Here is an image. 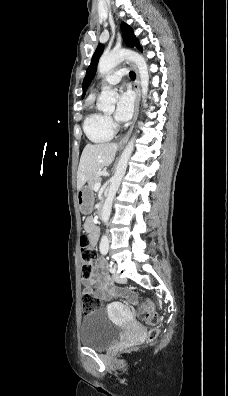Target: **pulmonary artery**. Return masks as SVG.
<instances>
[{
    "mask_svg": "<svg viewBox=\"0 0 228 396\" xmlns=\"http://www.w3.org/2000/svg\"><path fill=\"white\" fill-rule=\"evenodd\" d=\"M126 74L125 70H118L115 72H112L111 74L107 75L100 83L99 85H115L120 82L122 77Z\"/></svg>",
    "mask_w": 228,
    "mask_h": 396,
    "instance_id": "pulmonary-artery-1",
    "label": "pulmonary artery"
}]
</instances>
